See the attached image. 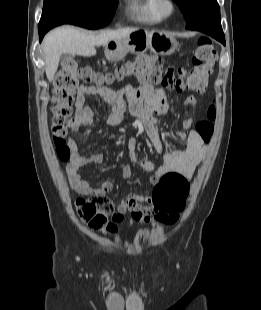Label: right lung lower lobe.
Returning <instances> with one entry per match:
<instances>
[{
	"instance_id": "obj_1",
	"label": "right lung lower lobe",
	"mask_w": 261,
	"mask_h": 310,
	"mask_svg": "<svg viewBox=\"0 0 261 310\" xmlns=\"http://www.w3.org/2000/svg\"><path fill=\"white\" fill-rule=\"evenodd\" d=\"M48 30H50V29H47V28H38L40 42H41V40L43 39V36L45 35V33H46Z\"/></svg>"
}]
</instances>
